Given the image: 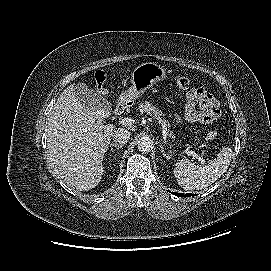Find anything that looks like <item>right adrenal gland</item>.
Instances as JSON below:
<instances>
[{
    "instance_id": "obj_1",
    "label": "right adrenal gland",
    "mask_w": 271,
    "mask_h": 271,
    "mask_svg": "<svg viewBox=\"0 0 271 271\" xmlns=\"http://www.w3.org/2000/svg\"><path fill=\"white\" fill-rule=\"evenodd\" d=\"M115 147L116 149L122 148V145L116 143H110V147ZM108 149V148H107Z\"/></svg>"
}]
</instances>
